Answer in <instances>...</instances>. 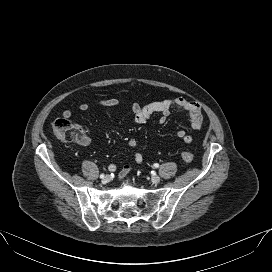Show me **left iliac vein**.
Masks as SVG:
<instances>
[{"mask_svg":"<svg viewBox=\"0 0 272 272\" xmlns=\"http://www.w3.org/2000/svg\"><path fill=\"white\" fill-rule=\"evenodd\" d=\"M151 181H152V183H154V184H158V183L160 182V177H159L158 175H153V176L151 177Z\"/></svg>","mask_w":272,"mask_h":272,"instance_id":"obj_1","label":"left iliac vein"}]
</instances>
